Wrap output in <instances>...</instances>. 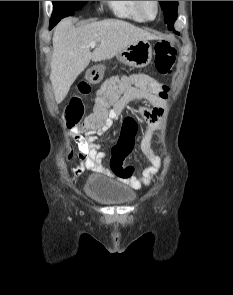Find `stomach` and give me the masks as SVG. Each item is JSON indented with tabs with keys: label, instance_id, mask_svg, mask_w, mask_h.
Segmentation results:
<instances>
[{
	"label": "stomach",
	"instance_id": "1",
	"mask_svg": "<svg viewBox=\"0 0 233 295\" xmlns=\"http://www.w3.org/2000/svg\"><path fill=\"white\" fill-rule=\"evenodd\" d=\"M152 46L148 40H139L125 47L116 56L123 64L133 68L146 67L152 60ZM104 67L94 66L89 69L86 78L91 83H98L102 80Z\"/></svg>",
	"mask_w": 233,
	"mask_h": 295
}]
</instances>
